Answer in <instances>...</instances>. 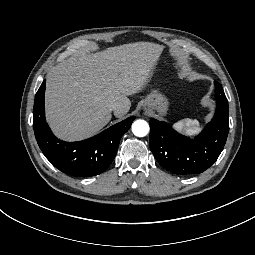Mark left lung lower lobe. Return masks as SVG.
Listing matches in <instances>:
<instances>
[{
  "label": "left lung lower lobe",
  "instance_id": "left-lung-lower-lobe-1",
  "mask_svg": "<svg viewBox=\"0 0 255 255\" xmlns=\"http://www.w3.org/2000/svg\"><path fill=\"white\" fill-rule=\"evenodd\" d=\"M214 83L215 116L195 139L180 135L165 122L153 118L149 121L150 149L159 164L176 175L204 172L224 148L229 131L228 101L222 86Z\"/></svg>",
  "mask_w": 255,
  "mask_h": 255
}]
</instances>
